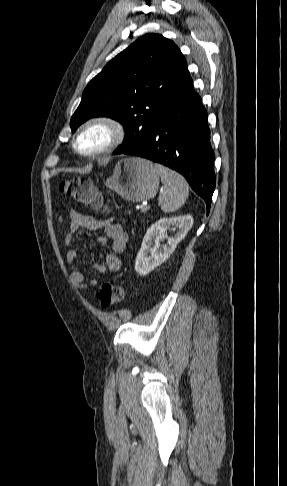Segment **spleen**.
<instances>
[{
    "label": "spleen",
    "mask_w": 287,
    "mask_h": 486,
    "mask_svg": "<svg viewBox=\"0 0 287 486\" xmlns=\"http://www.w3.org/2000/svg\"><path fill=\"white\" fill-rule=\"evenodd\" d=\"M155 167L160 173L164 186L163 192L159 196V205L165 213L175 212L186 202L189 185L179 173L160 164H155Z\"/></svg>",
    "instance_id": "obj_1"
}]
</instances>
